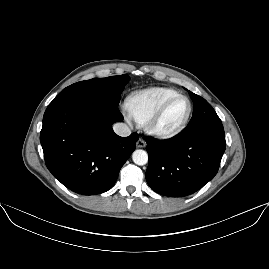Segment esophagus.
Instances as JSON below:
<instances>
[{
    "instance_id": "1",
    "label": "esophagus",
    "mask_w": 269,
    "mask_h": 269,
    "mask_svg": "<svg viewBox=\"0 0 269 269\" xmlns=\"http://www.w3.org/2000/svg\"><path fill=\"white\" fill-rule=\"evenodd\" d=\"M136 147L137 148H144V147H146L145 140L142 139V138H139L138 141H137V143H136Z\"/></svg>"
}]
</instances>
